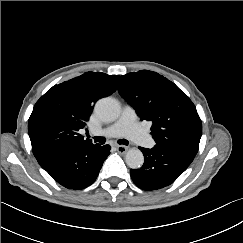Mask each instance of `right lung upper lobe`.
Segmentation results:
<instances>
[{"label":"right lung upper lobe","mask_w":243,"mask_h":243,"mask_svg":"<svg viewBox=\"0 0 243 243\" xmlns=\"http://www.w3.org/2000/svg\"><path fill=\"white\" fill-rule=\"evenodd\" d=\"M119 75L86 72L54 85L34 105L28 121L33 154L51 147L92 144L79 130L86 128L94 104L116 91Z\"/></svg>","instance_id":"obj_1"}]
</instances>
